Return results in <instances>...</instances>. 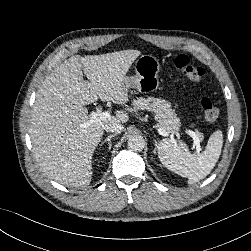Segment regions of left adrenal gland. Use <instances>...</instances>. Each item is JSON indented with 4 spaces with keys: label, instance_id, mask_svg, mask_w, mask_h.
<instances>
[{
    "label": "left adrenal gland",
    "instance_id": "a2214340",
    "mask_svg": "<svg viewBox=\"0 0 251 251\" xmlns=\"http://www.w3.org/2000/svg\"><path fill=\"white\" fill-rule=\"evenodd\" d=\"M157 145V142H155V146ZM154 153H156V148L154 149Z\"/></svg>",
    "mask_w": 251,
    "mask_h": 251
}]
</instances>
